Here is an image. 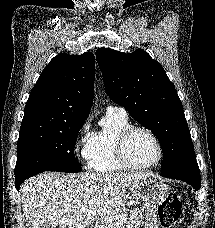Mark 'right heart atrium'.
<instances>
[{"label":"right heart atrium","instance_id":"1","mask_svg":"<svg viewBox=\"0 0 215 228\" xmlns=\"http://www.w3.org/2000/svg\"><path fill=\"white\" fill-rule=\"evenodd\" d=\"M89 126H90V122L89 121L85 122L80 129V133L86 132L89 129Z\"/></svg>","mask_w":215,"mask_h":228}]
</instances>
